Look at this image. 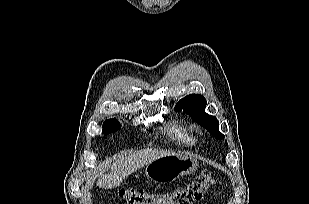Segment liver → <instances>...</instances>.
Instances as JSON below:
<instances>
[{
	"instance_id": "6515ba94",
	"label": "liver",
	"mask_w": 309,
	"mask_h": 204,
	"mask_svg": "<svg viewBox=\"0 0 309 204\" xmlns=\"http://www.w3.org/2000/svg\"><path fill=\"white\" fill-rule=\"evenodd\" d=\"M170 151L161 149H145L142 151L134 152L128 156L122 157L115 161L111 166V172L103 175L98 174L99 178L97 185L105 189H113L119 187L120 184L134 171L142 168L150 162L168 155H173ZM96 176L93 175L86 183L88 189L94 185Z\"/></svg>"
}]
</instances>
